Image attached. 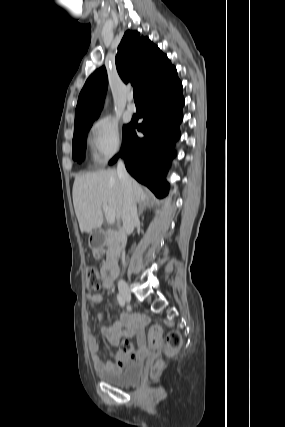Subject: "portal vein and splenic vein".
<instances>
[{"mask_svg":"<svg viewBox=\"0 0 285 427\" xmlns=\"http://www.w3.org/2000/svg\"><path fill=\"white\" fill-rule=\"evenodd\" d=\"M105 217L108 223L113 224L115 222V212L107 206V204L102 205Z\"/></svg>","mask_w":285,"mask_h":427,"instance_id":"obj_1","label":"portal vein and splenic vein"}]
</instances>
